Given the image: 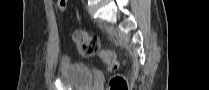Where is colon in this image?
Returning <instances> with one entry per match:
<instances>
[{
  "label": "colon",
  "instance_id": "5ec220e1",
  "mask_svg": "<svg viewBox=\"0 0 209 90\" xmlns=\"http://www.w3.org/2000/svg\"><path fill=\"white\" fill-rule=\"evenodd\" d=\"M66 5L67 0L58 1V6L61 11L65 10ZM73 41L81 56L99 57L111 71H115L118 68L116 54L112 50L102 48L97 35L88 31H77L73 35ZM109 85L110 90H128L125 78L120 75L113 76Z\"/></svg>",
  "mask_w": 209,
  "mask_h": 90
}]
</instances>
